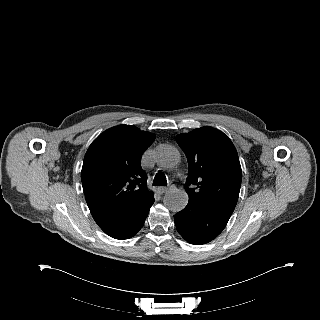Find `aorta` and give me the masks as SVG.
Masks as SVG:
<instances>
[{
    "instance_id": "obj_1",
    "label": "aorta",
    "mask_w": 320,
    "mask_h": 320,
    "mask_svg": "<svg viewBox=\"0 0 320 320\" xmlns=\"http://www.w3.org/2000/svg\"><path fill=\"white\" fill-rule=\"evenodd\" d=\"M154 158L164 169H172L180 162V153L174 146L163 144L157 147ZM164 205L173 212L183 210L188 203V195L182 190L168 191L164 196Z\"/></svg>"
}]
</instances>
